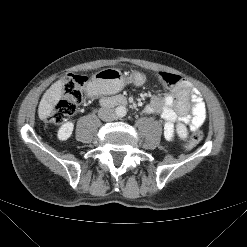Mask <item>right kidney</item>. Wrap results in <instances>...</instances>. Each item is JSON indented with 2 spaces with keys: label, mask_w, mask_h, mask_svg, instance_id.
I'll use <instances>...</instances> for the list:
<instances>
[{
  "label": "right kidney",
  "mask_w": 247,
  "mask_h": 247,
  "mask_svg": "<svg viewBox=\"0 0 247 247\" xmlns=\"http://www.w3.org/2000/svg\"><path fill=\"white\" fill-rule=\"evenodd\" d=\"M74 124L72 122L64 123L58 130V139L65 141L67 140L73 132Z\"/></svg>",
  "instance_id": "obj_1"
}]
</instances>
